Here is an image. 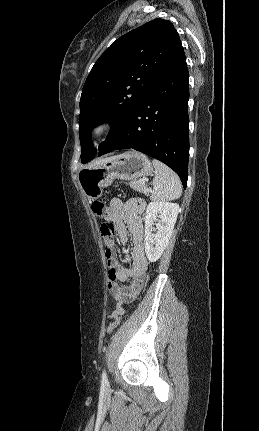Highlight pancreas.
<instances>
[{
    "label": "pancreas",
    "instance_id": "cf45deb5",
    "mask_svg": "<svg viewBox=\"0 0 259 431\" xmlns=\"http://www.w3.org/2000/svg\"><path fill=\"white\" fill-rule=\"evenodd\" d=\"M130 186L137 192L144 193L146 196L149 195L147 185L145 183H141L140 180L131 181Z\"/></svg>",
    "mask_w": 259,
    "mask_h": 431
}]
</instances>
